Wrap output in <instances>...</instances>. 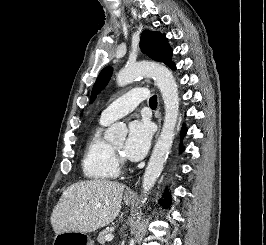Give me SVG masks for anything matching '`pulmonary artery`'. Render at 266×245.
Listing matches in <instances>:
<instances>
[{"label":"pulmonary artery","instance_id":"obj_1","mask_svg":"<svg viewBox=\"0 0 266 245\" xmlns=\"http://www.w3.org/2000/svg\"><path fill=\"white\" fill-rule=\"evenodd\" d=\"M138 91H127V96H119L118 100H112L100 114V121L110 123L133 111L140 101H146L147 87L138 86Z\"/></svg>","mask_w":266,"mask_h":245}]
</instances>
